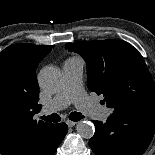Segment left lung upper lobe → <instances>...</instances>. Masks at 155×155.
I'll return each mask as SVG.
<instances>
[{
    "instance_id": "obj_1",
    "label": "left lung upper lobe",
    "mask_w": 155,
    "mask_h": 155,
    "mask_svg": "<svg viewBox=\"0 0 155 155\" xmlns=\"http://www.w3.org/2000/svg\"><path fill=\"white\" fill-rule=\"evenodd\" d=\"M66 48L84 58L88 88L105 97L112 114H155L154 81L131 44L111 39L67 43Z\"/></svg>"
}]
</instances>
